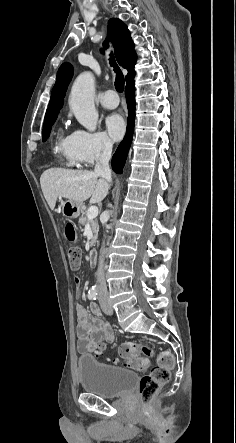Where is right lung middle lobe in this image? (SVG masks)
Returning <instances> with one entry per match:
<instances>
[{"label": "right lung middle lobe", "mask_w": 236, "mask_h": 443, "mask_svg": "<svg viewBox=\"0 0 236 443\" xmlns=\"http://www.w3.org/2000/svg\"><path fill=\"white\" fill-rule=\"evenodd\" d=\"M57 117H54L52 119H49L47 121L44 122V127H43V141H46L47 138L49 137L50 131H51V127L54 124L55 120Z\"/></svg>", "instance_id": "obj_1"}]
</instances>
